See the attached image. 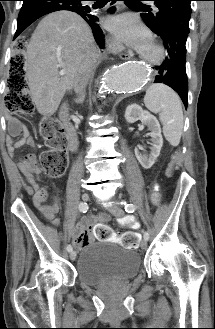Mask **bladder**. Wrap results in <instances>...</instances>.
I'll return each instance as SVG.
<instances>
[{
    "mask_svg": "<svg viewBox=\"0 0 215 329\" xmlns=\"http://www.w3.org/2000/svg\"><path fill=\"white\" fill-rule=\"evenodd\" d=\"M140 272V256L108 240H98L82 249L77 260V278L89 286L132 279Z\"/></svg>",
    "mask_w": 215,
    "mask_h": 329,
    "instance_id": "bladder-1",
    "label": "bladder"
}]
</instances>
